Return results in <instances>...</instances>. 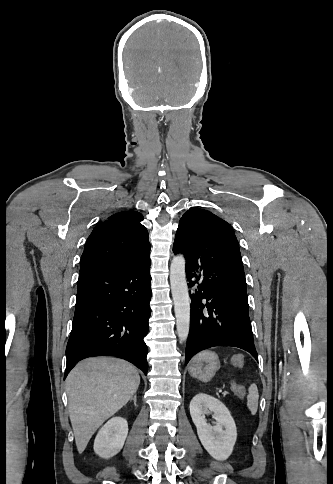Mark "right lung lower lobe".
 <instances>
[{"mask_svg": "<svg viewBox=\"0 0 333 484\" xmlns=\"http://www.w3.org/2000/svg\"><path fill=\"white\" fill-rule=\"evenodd\" d=\"M150 264L147 257L132 265L80 271L65 377L78 361L103 355L124 358L147 374L143 339L151 315Z\"/></svg>", "mask_w": 333, "mask_h": 484, "instance_id": "obj_1", "label": "right lung lower lobe"}]
</instances>
